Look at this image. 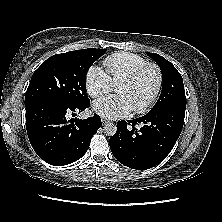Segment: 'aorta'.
<instances>
[{"instance_id":"obj_1","label":"aorta","mask_w":222,"mask_h":222,"mask_svg":"<svg viewBox=\"0 0 222 222\" xmlns=\"http://www.w3.org/2000/svg\"><path fill=\"white\" fill-rule=\"evenodd\" d=\"M117 131V126L114 123H107L104 126V133L108 136H113Z\"/></svg>"}]
</instances>
